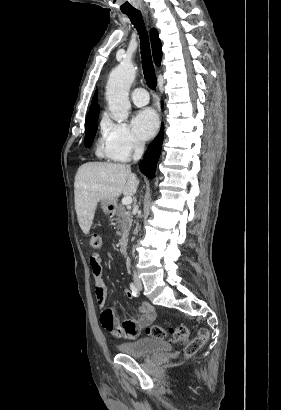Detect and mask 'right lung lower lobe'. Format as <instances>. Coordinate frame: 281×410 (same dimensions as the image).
<instances>
[{
    "instance_id": "right-lung-lower-lobe-1",
    "label": "right lung lower lobe",
    "mask_w": 281,
    "mask_h": 410,
    "mask_svg": "<svg viewBox=\"0 0 281 410\" xmlns=\"http://www.w3.org/2000/svg\"><path fill=\"white\" fill-rule=\"evenodd\" d=\"M163 124L157 137L149 144L144 155V159L140 162V170L149 178L155 177L156 165L160 156L161 146L163 142Z\"/></svg>"
}]
</instances>
